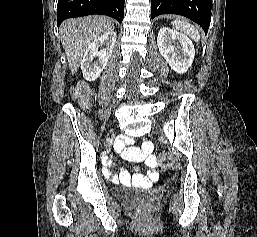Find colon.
<instances>
[{
  "label": "colon",
  "instance_id": "1",
  "mask_svg": "<svg viewBox=\"0 0 257 237\" xmlns=\"http://www.w3.org/2000/svg\"><path fill=\"white\" fill-rule=\"evenodd\" d=\"M74 96L82 105H87L91 99V90L85 83H78L74 89ZM174 164V160L169 154L160 155V168L162 170L170 169Z\"/></svg>",
  "mask_w": 257,
  "mask_h": 237
}]
</instances>
